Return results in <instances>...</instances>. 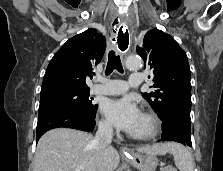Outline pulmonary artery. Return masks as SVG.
Wrapping results in <instances>:
<instances>
[{
	"label": "pulmonary artery",
	"instance_id": "1",
	"mask_svg": "<svg viewBox=\"0 0 223 171\" xmlns=\"http://www.w3.org/2000/svg\"><path fill=\"white\" fill-rule=\"evenodd\" d=\"M143 81L142 74L135 72L129 77L128 82L119 79L99 78L98 84L91 88V92L101 95H119L125 93L129 87H137Z\"/></svg>",
	"mask_w": 223,
	"mask_h": 171
}]
</instances>
